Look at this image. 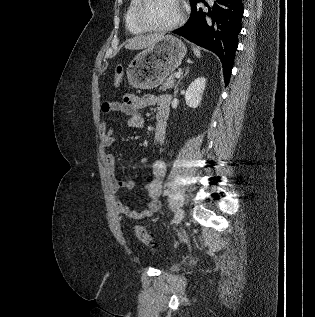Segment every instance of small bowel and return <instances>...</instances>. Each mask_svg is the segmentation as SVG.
I'll list each match as a JSON object with an SVG mask.
<instances>
[{
  "mask_svg": "<svg viewBox=\"0 0 315 317\" xmlns=\"http://www.w3.org/2000/svg\"><path fill=\"white\" fill-rule=\"evenodd\" d=\"M169 95L145 94L136 96L132 94L125 95L122 101H111L103 104L102 110L106 113H123L128 115L127 124L130 128L141 129L144 127V117L141 110L145 107L154 106L156 109L155 119V139L156 145H159L165 138L166 124L169 117ZM100 141L105 147L115 144L113 129L107 128L105 122L101 124ZM115 156L107 154L105 157L106 166L111 177V190L117 194L120 190H132L135 187L133 180H118L115 178ZM153 179L146 184L145 189L149 195L147 207L142 211H136L129 208L120 199L116 200L115 207L120 215L132 220H140L155 215L160 207V196L164 187V178L167 172V165L163 160L155 159L150 165Z\"/></svg>",
  "mask_w": 315,
  "mask_h": 317,
  "instance_id": "1",
  "label": "small bowel"
}]
</instances>
